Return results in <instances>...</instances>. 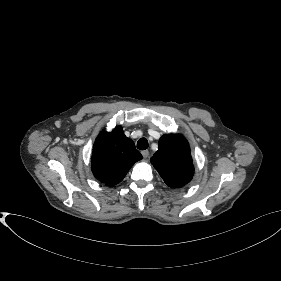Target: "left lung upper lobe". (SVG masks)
Here are the masks:
<instances>
[{
  "mask_svg": "<svg viewBox=\"0 0 281 281\" xmlns=\"http://www.w3.org/2000/svg\"><path fill=\"white\" fill-rule=\"evenodd\" d=\"M158 145L150 161L164 182L171 188H180L189 183L194 166L187 140L180 134H165Z\"/></svg>",
  "mask_w": 281,
  "mask_h": 281,
  "instance_id": "obj_1",
  "label": "left lung upper lobe"
}]
</instances>
